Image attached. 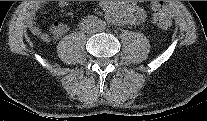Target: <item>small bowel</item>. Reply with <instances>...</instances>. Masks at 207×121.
<instances>
[{"instance_id": "small-bowel-1", "label": "small bowel", "mask_w": 207, "mask_h": 121, "mask_svg": "<svg viewBox=\"0 0 207 121\" xmlns=\"http://www.w3.org/2000/svg\"><path fill=\"white\" fill-rule=\"evenodd\" d=\"M58 5L63 8L68 5V2L59 1ZM101 7L105 12L106 18L114 23H136L143 18L142 11L132 2L117 3L102 1ZM31 30L43 40L47 41L49 39V36L42 32L33 21L31 22ZM51 31L54 36L59 37L67 31V26L63 23L56 22L53 24Z\"/></svg>"}]
</instances>
